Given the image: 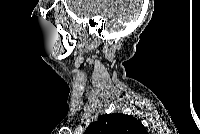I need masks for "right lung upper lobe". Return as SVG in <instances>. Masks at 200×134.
Returning <instances> with one entry per match:
<instances>
[{
	"label": "right lung upper lobe",
	"instance_id": "cb5924a9",
	"mask_svg": "<svg viewBox=\"0 0 200 134\" xmlns=\"http://www.w3.org/2000/svg\"><path fill=\"white\" fill-rule=\"evenodd\" d=\"M145 127L136 118L122 113L101 115L85 134H145Z\"/></svg>",
	"mask_w": 200,
	"mask_h": 134
}]
</instances>
